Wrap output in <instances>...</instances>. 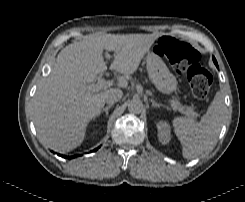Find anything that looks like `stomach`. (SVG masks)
<instances>
[{
  "label": "stomach",
  "mask_w": 245,
  "mask_h": 202,
  "mask_svg": "<svg viewBox=\"0 0 245 202\" xmlns=\"http://www.w3.org/2000/svg\"><path fill=\"white\" fill-rule=\"evenodd\" d=\"M146 67L149 78L158 91L169 95L176 90L177 80L169 71L162 56L156 49H151L147 52Z\"/></svg>",
  "instance_id": "1"
}]
</instances>
